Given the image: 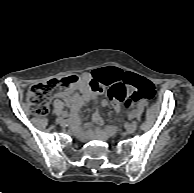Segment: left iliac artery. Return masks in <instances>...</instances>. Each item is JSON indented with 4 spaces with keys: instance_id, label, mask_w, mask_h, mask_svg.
<instances>
[{
    "instance_id": "obj_1",
    "label": "left iliac artery",
    "mask_w": 194,
    "mask_h": 193,
    "mask_svg": "<svg viewBox=\"0 0 194 193\" xmlns=\"http://www.w3.org/2000/svg\"><path fill=\"white\" fill-rule=\"evenodd\" d=\"M134 115H133V113H131L130 115H129V118H132Z\"/></svg>"
}]
</instances>
